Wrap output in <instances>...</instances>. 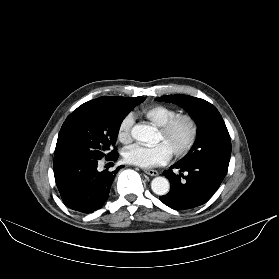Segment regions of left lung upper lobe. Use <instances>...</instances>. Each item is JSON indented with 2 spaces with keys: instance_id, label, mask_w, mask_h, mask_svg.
Returning <instances> with one entry per match:
<instances>
[{
  "instance_id": "5c2ea615",
  "label": "left lung upper lobe",
  "mask_w": 279,
  "mask_h": 279,
  "mask_svg": "<svg viewBox=\"0 0 279 279\" xmlns=\"http://www.w3.org/2000/svg\"><path fill=\"white\" fill-rule=\"evenodd\" d=\"M156 100L183 107L197 124L195 143L179 163L209 160L228 169L231 140L224 120L215 106L203 99L182 94L165 95Z\"/></svg>"
}]
</instances>
